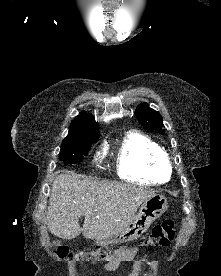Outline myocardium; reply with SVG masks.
Listing matches in <instances>:
<instances>
[{
  "instance_id": "f54148a6",
  "label": "myocardium",
  "mask_w": 221,
  "mask_h": 276,
  "mask_svg": "<svg viewBox=\"0 0 221 276\" xmlns=\"http://www.w3.org/2000/svg\"><path fill=\"white\" fill-rule=\"evenodd\" d=\"M164 160H165V162L170 166V158H169V156L166 154V153H164Z\"/></svg>"
}]
</instances>
